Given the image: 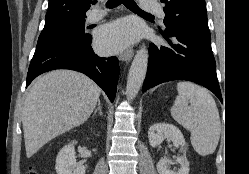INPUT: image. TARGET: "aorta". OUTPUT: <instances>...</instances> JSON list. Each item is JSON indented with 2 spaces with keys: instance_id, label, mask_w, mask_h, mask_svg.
Returning a JSON list of instances; mask_svg holds the SVG:
<instances>
[{
  "instance_id": "obj_1",
  "label": "aorta",
  "mask_w": 249,
  "mask_h": 174,
  "mask_svg": "<svg viewBox=\"0 0 249 174\" xmlns=\"http://www.w3.org/2000/svg\"><path fill=\"white\" fill-rule=\"evenodd\" d=\"M148 58V50L146 47H142L136 52L132 61L126 85V92L130 100L136 97L143 84L147 72Z\"/></svg>"
}]
</instances>
